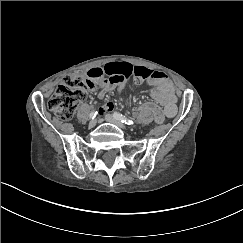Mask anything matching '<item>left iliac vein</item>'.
Masks as SVG:
<instances>
[{
	"label": "left iliac vein",
	"instance_id": "1",
	"mask_svg": "<svg viewBox=\"0 0 243 243\" xmlns=\"http://www.w3.org/2000/svg\"><path fill=\"white\" fill-rule=\"evenodd\" d=\"M104 118L107 122L112 123L121 129H126V126L124 124H122L119 120H117L114 116H112L110 114H106L104 116Z\"/></svg>",
	"mask_w": 243,
	"mask_h": 243
}]
</instances>
